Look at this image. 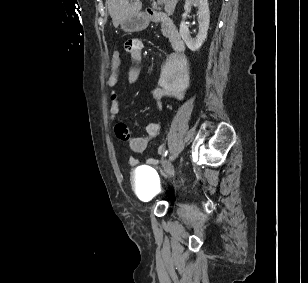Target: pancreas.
<instances>
[{
    "instance_id": "pancreas-1",
    "label": "pancreas",
    "mask_w": 308,
    "mask_h": 283,
    "mask_svg": "<svg viewBox=\"0 0 308 283\" xmlns=\"http://www.w3.org/2000/svg\"><path fill=\"white\" fill-rule=\"evenodd\" d=\"M162 32L165 36H167V28L164 24H162Z\"/></svg>"
}]
</instances>
